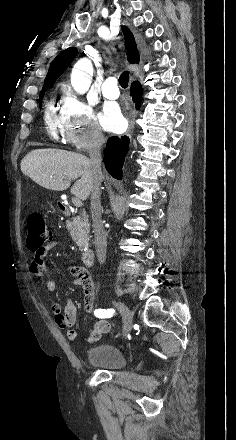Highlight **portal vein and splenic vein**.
Returning a JSON list of instances; mask_svg holds the SVG:
<instances>
[{
  "mask_svg": "<svg viewBox=\"0 0 236 440\" xmlns=\"http://www.w3.org/2000/svg\"><path fill=\"white\" fill-rule=\"evenodd\" d=\"M72 203L74 206L76 207H81L82 206V201L79 197H72Z\"/></svg>",
  "mask_w": 236,
  "mask_h": 440,
  "instance_id": "portal-vein-and-splenic-vein-1",
  "label": "portal vein and splenic vein"
}]
</instances>
